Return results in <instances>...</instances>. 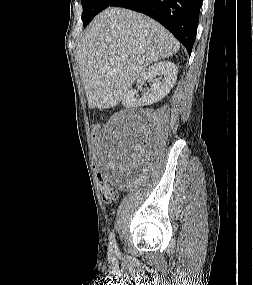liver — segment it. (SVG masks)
<instances>
[{"mask_svg":"<svg viewBox=\"0 0 253 285\" xmlns=\"http://www.w3.org/2000/svg\"><path fill=\"white\" fill-rule=\"evenodd\" d=\"M179 48L174 36L155 20L128 9H105L76 48L89 108L115 107L148 65Z\"/></svg>","mask_w":253,"mask_h":285,"instance_id":"obj_1","label":"liver"}]
</instances>
